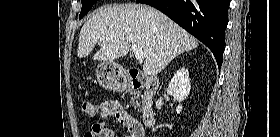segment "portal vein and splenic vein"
Returning a JSON list of instances; mask_svg holds the SVG:
<instances>
[{
	"label": "portal vein and splenic vein",
	"mask_w": 280,
	"mask_h": 137,
	"mask_svg": "<svg viewBox=\"0 0 280 137\" xmlns=\"http://www.w3.org/2000/svg\"><path fill=\"white\" fill-rule=\"evenodd\" d=\"M131 49L138 61H142L145 58V53L138 44L132 43Z\"/></svg>",
	"instance_id": "obj_1"
}]
</instances>
